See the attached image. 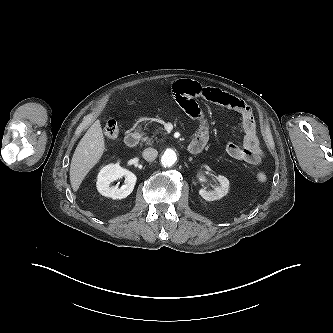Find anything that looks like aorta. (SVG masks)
Masks as SVG:
<instances>
[{
  "label": "aorta",
  "instance_id": "762f6f07",
  "mask_svg": "<svg viewBox=\"0 0 333 333\" xmlns=\"http://www.w3.org/2000/svg\"><path fill=\"white\" fill-rule=\"evenodd\" d=\"M177 161V154L173 149H166L161 156V164L164 167H171Z\"/></svg>",
  "mask_w": 333,
  "mask_h": 333
}]
</instances>
